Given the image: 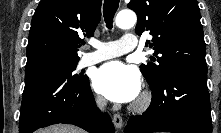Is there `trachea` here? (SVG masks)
Segmentation results:
<instances>
[{
	"instance_id": "trachea-1",
	"label": "trachea",
	"mask_w": 221,
	"mask_h": 133,
	"mask_svg": "<svg viewBox=\"0 0 221 133\" xmlns=\"http://www.w3.org/2000/svg\"><path fill=\"white\" fill-rule=\"evenodd\" d=\"M119 0H104V19L107 28L111 29L113 24L114 15L118 9Z\"/></svg>"
}]
</instances>
